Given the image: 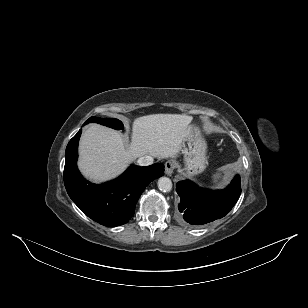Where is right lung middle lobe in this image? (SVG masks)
<instances>
[{
  "label": "right lung middle lobe",
  "mask_w": 308,
  "mask_h": 308,
  "mask_svg": "<svg viewBox=\"0 0 308 308\" xmlns=\"http://www.w3.org/2000/svg\"><path fill=\"white\" fill-rule=\"evenodd\" d=\"M89 122H96V123L106 125L108 127L116 129V130H123L124 129L122 122L118 119H115V118L91 117L85 122V124H87Z\"/></svg>",
  "instance_id": "right-lung-middle-lobe-1"
}]
</instances>
